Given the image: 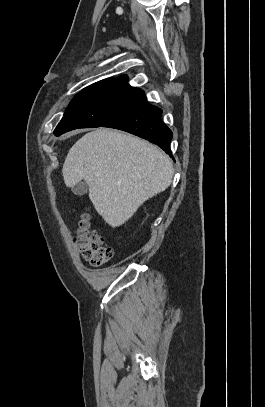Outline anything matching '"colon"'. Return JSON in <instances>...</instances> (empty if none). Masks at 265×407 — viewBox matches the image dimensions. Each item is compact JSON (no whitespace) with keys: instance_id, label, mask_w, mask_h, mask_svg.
Returning <instances> with one entry per match:
<instances>
[{"instance_id":"1","label":"colon","mask_w":265,"mask_h":407,"mask_svg":"<svg viewBox=\"0 0 265 407\" xmlns=\"http://www.w3.org/2000/svg\"><path fill=\"white\" fill-rule=\"evenodd\" d=\"M77 241L81 255L93 266L106 263L113 255L112 248L105 245L102 236L93 229L89 214L81 218Z\"/></svg>"}]
</instances>
